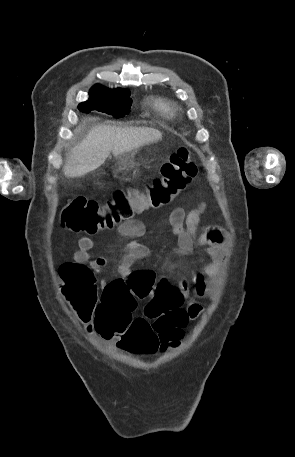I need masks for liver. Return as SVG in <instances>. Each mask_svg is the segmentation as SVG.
Wrapping results in <instances>:
<instances>
[{"mask_svg":"<svg viewBox=\"0 0 295 457\" xmlns=\"http://www.w3.org/2000/svg\"><path fill=\"white\" fill-rule=\"evenodd\" d=\"M161 138L162 133L150 127L95 126L72 149L63 172L66 177H81L100 167L111 152L118 157Z\"/></svg>","mask_w":295,"mask_h":457,"instance_id":"liver-1","label":"liver"}]
</instances>
